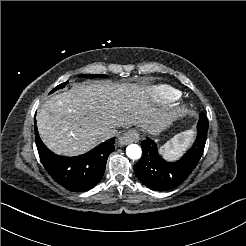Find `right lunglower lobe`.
Returning a JSON list of instances; mask_svg holds the SVG:
<instances>
[{
  "instance_id": "obj_1",
  "label": "right lung lower lobe",
  "mask_w": 246,
  "mask_h": 246,
  "mask_svg": "<svg viewBox=\"0 0 246 246\" xmlns=\"http://www.w3.org/2000/svg\"><path fill=\"white\" fill-rule=\"evenodd\" d=\"M35 130L41 162L49 175L60 185L74 192H83L100 182L107 158L114 151L115 138L107 140L84 155L65 157L51 152L41 141L36 127Z\"/></svg>"
}]
</instances>
